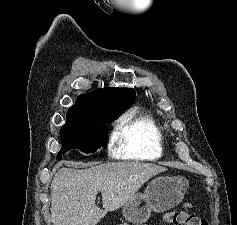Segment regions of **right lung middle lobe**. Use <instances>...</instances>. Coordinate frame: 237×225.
Masks as SVG:
<instances>
[{"label": "right lung middle lobe", "mask_w": 237, "mask_h": 225, "mask_svg": "<svg viewBox=\"0 0 237 225\" xmlns=\"http://www.w3.org/2000/svg\"><path fill=\"white\" fill-rule=\"evenodd\" d=\"M120 114L109 111H98L87 123L66 122L61 129V142L63 148L59 151L57 159L72 148L80 149L85 153H94L107 141L108 127Z\"/></svg>", "instance_id": "obj_1"}]
</instances>
